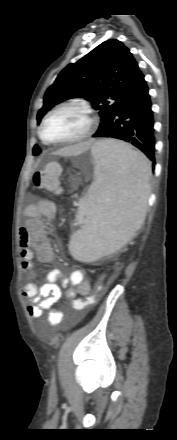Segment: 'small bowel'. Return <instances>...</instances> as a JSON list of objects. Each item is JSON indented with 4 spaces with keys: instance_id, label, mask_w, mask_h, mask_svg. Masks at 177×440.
<instances>
[{
    "instance_id": "obj_1",
    "label": "small bowel",
    "mask_w": 177,
    "mask_h": 440,
    "mask_svg": "<svg viewBox=\"0 0 177 440\" xmlns=\"http://www.w3.org/2000/svg\"><path fill=\"white\" fill-rule=\"evenodd\" d=\"M27 223L20 231V260L24 271L30 279L35 278L33 259L34 249L39 261L52 263L54 255L52 248L44 234V220L56 215V206L48 200H40L28 205L24 210ZM59 282L60 284H57ZM64 296L67 300L85 297L90 293L91 284L85 278L81 270H74L69 274L59 269H52L46 275V282L37 285L34 282H27L22 287V295L27 298V311L31 318H38L43 311L52 308ZM76 314L73 315L75 317ZM49 322L52 325L59 324L65 314L62 311L51 310Z\"/></svg>"
}]
</instances>
